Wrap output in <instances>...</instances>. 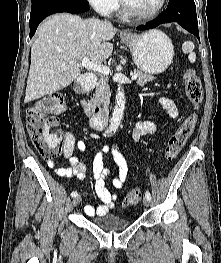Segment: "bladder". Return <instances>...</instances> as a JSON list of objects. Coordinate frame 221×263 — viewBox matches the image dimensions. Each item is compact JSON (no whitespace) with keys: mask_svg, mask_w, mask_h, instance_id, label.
<instances>
[{"mask_svg":"<svg viewBox=\"0 0 221 263\" xmlns=\"http://www.w3.org/2000/svg\"><path fill=\"white\" fill-rule=\"evenodd\" d=\"M91 222L97 228L107 231L116 232L128 228L131 224L129 220L121 218L118 214H105L93 216Z\"/></svg>","mask_w":221,"mask_h":263,"instance_id":"1","label":"bladder"}]
</instances>
